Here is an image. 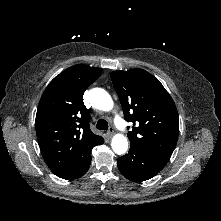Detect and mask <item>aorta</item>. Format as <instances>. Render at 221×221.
Returning <instances> with one entry per match:
<instances>
[{
  "label": "aorta",
  "instance_id": "obj_1",
  "mask_svg": "<svg viewBox=\"0 0 221 221\" xmlns=\"http://www.w3.org/2000/svg\"><path fill=\"white\" fill-rule=\"evenodd\" d=\"M90 99L92 105L102 111H110L113 108V100L109 93L101 88H93L90 90ZM111 147L113 151L122 155L128 150V141L123 134H116L112 138Z\"/></svg>",
  "mask_w": 221,
  "mask_h": 221
}]
</instances>
